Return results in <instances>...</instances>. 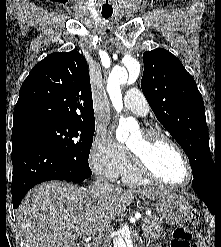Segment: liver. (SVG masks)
Masks as SVG:
<instances>
[{
  "label": "liver",
  "mask_w": 221,
  "mask_h": 247,
  "mask_svg": "<svg viewBox=\"0 0 221 247\" xmlns=\"http://www.w3.org/2000/svg\"><path fill=\"white\" fill-rule=\"evenodd\" d=\"M166 190H99L51 181L32 188L18 209V225L28 247H82L81 238L109 235L111 222L138 195L155 200Z\"/></svg>",
  "instance_id": "obj_1"
}]
</instances>
